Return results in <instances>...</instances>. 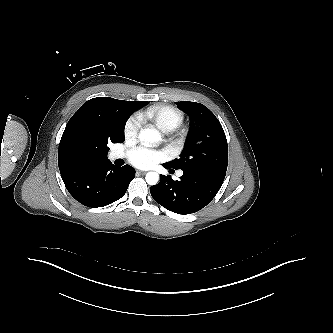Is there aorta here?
I'll return each mask as SVG.
<instances>
[{"label":"aorta","instance_id":"obj_1","mask_svg":"<svg viewBox=\"0 0 333 333\" xmlns=\"http://www.w3.org/2000/svg\"><path fill=\"white\" fill-rule=\"evenodd\" d=\"M138 138L146 144L158 143L162 139L160 132L156 129H143L140 131ZM145 179L149 185H155L159 181V175L156 172H148Z\"/></svg>","mask_w":333,"mask_h":333}]
</instances>
